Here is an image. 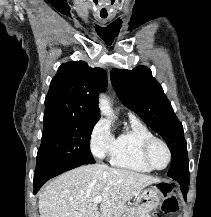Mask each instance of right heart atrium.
Returning <instances> with one entry per match:
<instances>
[{
    "instance_id": "obj_1",
    "label": "right heart atrium",
    "mask_w": 211,
    "mask_h": 217,
    "mask_svg": "<svg viewBox=\"0 0 211 217\" xmlns=\"http://www.w3.org/2000/svg\"><path fill=\"white\" fill-rule=\"evenodd\" d=\"M114 141L115 137L110 124L105 120L96 122L89 136L92 153L98 158L109 157L114 147Z\"/></svg>"
}]
</instances>
